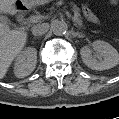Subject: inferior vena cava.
I'll use <instances>...</instances> for the list:
<instances>
[{
	"mask_svg": "<svg viewBox=\"0 0 119 119\" xmlns=\"http://www.w3.org/2000/svg\"><path fill=\"white\" fill-rule=\"evenodd\" d=\"M48 29H49L48 23L38 24L32 28V34L35 36L43 35L48 31Z\"/></svg>",
	"mask_w": 119,
	"mask_h": 119,
	"instance_id": "1",
	"label": "inferior vena cava"
}]
</instances>
